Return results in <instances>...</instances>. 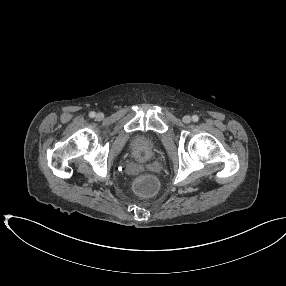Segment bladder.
<instances>
[{
  "instance_id": "1",
  "label": "bladder",
  "mask_w": 286,
  "mask_h": 286,
  "mask_svg": "<svg viewBox=\"0 0 286 286\" xmlns=\"http://www.w3.org/2000/svg\"><path fill=\"white\" fill-rule=\"evenodd\" d=\"M132 147L142 160H147L154 152L156 144L153 139L139 134L133 139Z\"/></svg>"
}]
</instances>
